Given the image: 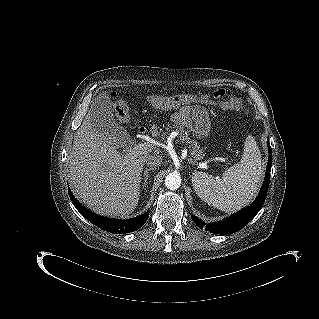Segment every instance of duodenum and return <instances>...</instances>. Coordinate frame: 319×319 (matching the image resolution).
I'll return each mask as SVG.
<instances>
[{"mask_svg":"<svg viewBox=\"0 0 319 319\" xmlns=\"http://www.w3.org/2000/svg\"><path fill=\"white\" fill-rule=\"evenodd\" d=\"M145 131H146V129H145L144 127H140V128H139V132H140V133H145Z\"/></svg>","mask_w":319,"mask_h":319,"instance_id":"1","label":"duodenum"}]
</instances>
